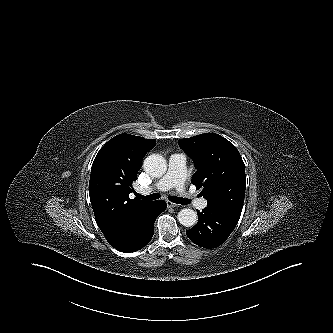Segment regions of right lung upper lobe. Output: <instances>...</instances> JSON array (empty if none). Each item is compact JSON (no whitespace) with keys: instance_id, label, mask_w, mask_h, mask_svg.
<instances>
[{"instance_id":"obj_1","label":"right lung upper lobe","mask_w":333,"mask_h":333,"mask_svg":"<svg viewBox=\"0 0 333 333\" xmlns=\"http://www.w3.org/2000/svg\"><path fill=\"white\" fill-rule=\"evenodd\" d=\"M156 140L130 134L110 139L96 155L89 181V196L98 227L116 248L129 235L136 221L148 213L153 202L130 199L132 183L146 153Z\"/></svg>"}]
</instances>
